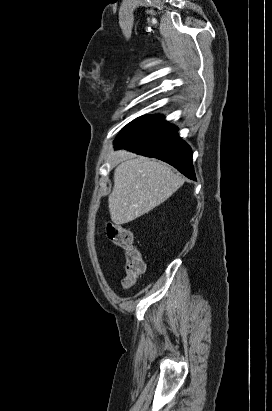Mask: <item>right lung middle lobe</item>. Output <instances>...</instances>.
Segmentation results:
<instances>
[{"mask_svg": "<svg viewBox=\"0 0 272 411\" xmlns=\"http://www.w3.org/2000/svg\"><path fill=\"white\" fill-rule=\"evenodd\" d=\"M164 120V117L161 115H154V116H141L128 125H126L122 131L119 133L117 136V139H123L125 137H128L130 135H133L139 131H142L146 128H149L152 125H155L159 122Z\"/></svg>", "mask_w": 272, "mask_h": 411, "instance_id": "obj_1", "label": "right lung middle lobe"}]
</instances>
